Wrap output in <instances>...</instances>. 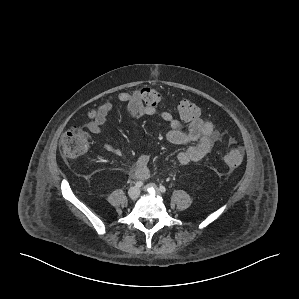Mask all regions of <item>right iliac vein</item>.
<instances>
[{
  "label": "right iliac vein",
  "instance_id": "1",
  "mask_svg": "<svg viewBox=\"0 0 299 299\" xmlns=\"http://www.w3.org/2000/svg\"><path fill=\"white\" fill-rule=\"evenodd\" d=\"M140 194V190L137 187H131L128 191L130 199L135 200Z\"/></svg>",
  "mask_w": 299,
  "mask_h": 299
}]
</instances>
